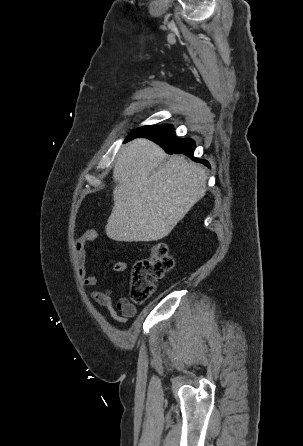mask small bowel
Masks as SVG:
<instances>
[{"label":"small bowel","instance_id":"obj_1","mask_svg":"<svg viewBox=\"0 0 303 446\" xmlns=\"http://www.w3.org/2000/svg\"><path fill=\"white\" fill-rule=\"evenodd\" d=\"M97 239L98 232L96 230L86 229L73 242L77 275L81 283L86 287H93L98 283L97 275L88 274L86 269V245ZM113 269L115 272L125 273L127 265L122 261H118L114 264ZM88 295L96 304L107 308L109 316L120 325H125L128 319L134 317L137 313V308L125 298H120L114 304V291L111 285L100 291H89Z\"/></svg>","mask_w":303,"mask_h":446}]
</instances>
